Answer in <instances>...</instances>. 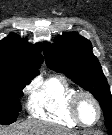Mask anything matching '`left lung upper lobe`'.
<instances>
[{
    "label": "left lung upper lobe",
    "instance_id": "obj_1",
    "mask_svg": "<svg viewBox=\"0 0 112 135\" xmlns=\"http://www.w3.org/2000/svg\"><path fill=\"white\" fill-rule=\"evenodd\" d=\"M43 52L50 69L65 73L99 101L106 128L112 129V95L91 42L72 32L57 37L55 44L45 42Z\"/></svg>",
    "mask_w": 112,
    "mask_h": 135
}]
</instances>
